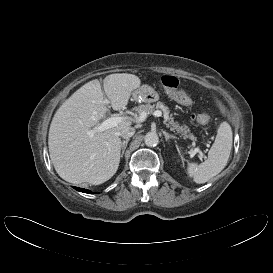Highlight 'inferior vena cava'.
I'll return each instance as SVG.
<instances>
[{"label":"inferior vena cava","instance_id":"602c4592","mask_svg":"<svg viewBox=\"0 0 273 273\" xmlns=\"http://www.w3.org/2000/svg\"><path fill=\"white\" fill-rule=\"evenodd\" d=\"M135 134V129L133 127H125L118 132V135L124 139H129Z\"/></svg>","mask_w":273,"mask_h":273}]
</instances>
